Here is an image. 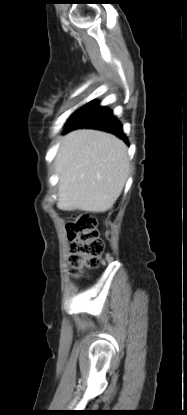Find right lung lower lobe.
Wrapping results in <instances>:
<instances>
[{
    "mask_svg": "<svg viewBox=\"0 0 187 415\" xmlns=\"http://www.w3.org/2000/svg\"><path fill=\"white\" fill-rule=\"evenodd\" d=\"M77 128H91L110 132L128 144L121 123L113 116L111 110L99 106V102L96 101H92L78 109L68 120L64 132Z\"/></svg>",
    "mask_w": 187,
    "mask_h": 415,
    "instance_id": "right-lung-lower-lobe-1",
    "label": "right lung lower lobe"
}]
</instances>
